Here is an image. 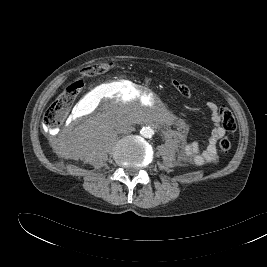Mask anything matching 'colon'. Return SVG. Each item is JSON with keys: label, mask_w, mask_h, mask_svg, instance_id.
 Returning a JSON list of instances; mask_svg holds the SVG:
<instances>
[{"label": "colon", "mask_w": 267, "mask_h": 267, "mask_svg": "<svg viewBox=\"0 0 267 267\" xmlns=\"http://www.w3.org/2000/svg\"><path fill=\"white\" fill-rule=\"evenodd\" d=\"M107 66V64H94L84 68L82 74L84 76H96L104 72ZM172 85L182 97L189 98L191 96V90L186 84L173 80ZM82 87L83 82L81 80H74L63 87L59 96L45 112L44 122L48 128H55L65 120ZM220 115L223 126L228 131H234L237 125L233 113L228 108L221 106ZM219 149L223 153H227L231 149V142L227 137L219 141Z\"/></svg>", "instance_id": "colon-1"}]
</instances>
